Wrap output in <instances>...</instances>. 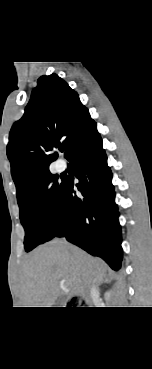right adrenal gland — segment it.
I'll list each match as a JSON object with an SVG mask.
<instances>
[{
	"mask_svg": "<svg viewBox=\"0 0 152 369\" xmlns=\"http://www.w3.org/2000/svg\"><path fill=\"white\" fill-rule=\"evenodd\" d=\"M108 282H110L109 280H108V278L105 276L104 277V280L102 281V282H99L98 284H97V286H100L101 284H103V283H108Z\"/></svg>",
	"mask_w": 152,
	"mask_h": 369,
	"instance_id": "1",
	"label": "right adrenal gland"
}]
</instances>
